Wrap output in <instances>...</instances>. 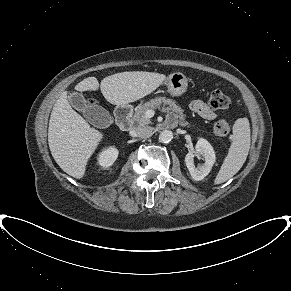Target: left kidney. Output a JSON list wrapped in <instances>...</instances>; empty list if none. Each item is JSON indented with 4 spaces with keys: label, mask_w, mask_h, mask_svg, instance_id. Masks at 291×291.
Wrapping results in <instances>:
<instances>
[{
    "label": "left kidney",
    "mask_w": 291,
    "mask_h": 291,
    "mask_svg": "<svg viewBox=\"0 0 291 291\" xmlns=\"http://www.w3.org/2000/svg\"><path fill=\"white\" fill-rule=\"evenodd\" d=\"M195 153L201 155L204 158V164L198 167H195L194 157ZM215 162V152L211 144L200 138L195 146V151L189 152L185 157L186 166L192 176V178L196 181H200L206 177Z\"/></svg>",
    "instance_id": "5707ae66"
}]
</instances>
